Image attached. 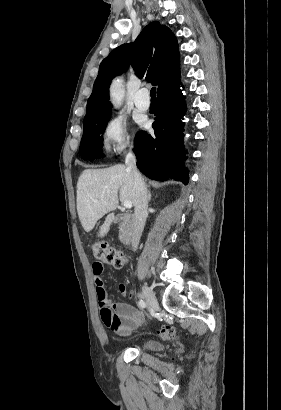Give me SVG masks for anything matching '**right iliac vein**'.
I'll use <instances>...</instances> for the list:
<instances>
[{"label": "right iliac vein", "instance_id": "63e3f726", "mask_svg": "<svg viewBox=\"0 0 281 410\" xmlns=\"http://www.w3.org/2000/svg\"><path fill=\"white\" fill-rule=\"evenodd\" d=\"M144 298L149 306V311L153 312L155 308L158 306V301L154 292L147 286L142 287Z\"/></svg>", "mask_w": 281, "mask_h": 410}]
</instances>
